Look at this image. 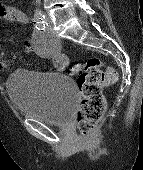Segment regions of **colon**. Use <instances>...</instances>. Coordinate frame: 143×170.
I'll return each instance as SVG.
<instances>
[{
    "label": "colon",
    "mask_w": 143,
    "mask_h": 170,
    "mask_svg": "<svg viewBox=\"0 0 143 170\" xmlns=\"http://www.w3.org/2000/svg\"><path fill=\"white\" fill-rule=\"evenodd\" d=\"M58 60L61 64L59 70L65 69L67 62L62 57H58ZM69 72L78 77L82 100L77 115V127L81 136L87 137L101 121L106 108L102 88L116 83L118 74L114 68L104 67L98 58H90L83 64H75Z\"/></svg>",
    "instance_id": "colon-1"
}]
</instances>
